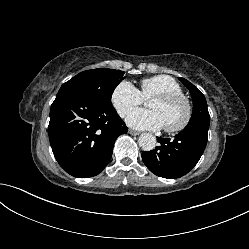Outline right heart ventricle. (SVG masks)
Here are the masks:
<instances>
[{
	"mask_svg": "<svg viewBox=\"0 0 249 249\" xmlns=\"http://www.w3.org/2000/svg\"><path fill=\"white\" fill-rule=\"evenodd\" d=\"M181 85L169 75H155L140 82L143 99H151L159 94L182 93Z\"/></svg>",
	"mask_w": 249,
	"mask_h": 249,
	"instance_id": "obj_1",
	"label": "right heart ventricle"
}]
</instances>
